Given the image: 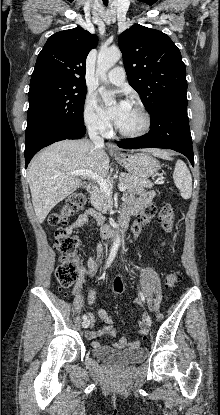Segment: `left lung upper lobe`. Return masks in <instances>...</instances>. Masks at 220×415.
<instances>
[{"instance_id": "5c2ea615", "label": "left lung upper lobe", "mask_w": 220, "mask_h": 415, "mask_svg": "<svg viewBox=\"0 0 220 415\" xmlns=\"http://www.w3.org/2000/svg\"><path fill=\"white\" fill-rule=\"evenodd\" d=\"M129 84L147 111L187 92L186 67L177 46L166 34L135 24L119 36Z\"/></svg>"}]
</instances>
